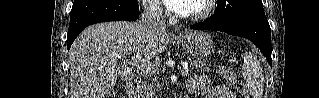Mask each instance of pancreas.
I'll use <instances>...</instances> for the list:
<instances>
[{"instance_id": "1", "label": "pancreas", "mask_w": 319, "mask_h": 98, "mask_svg": "<svg viewBox=\"0 0 319 98\" xmlns=\"http://www.w3.org/2000/svg\"><path fill=\"white\" fill-rule=\"evenodd\" d=\"M190 65H191L192 71L197 73L209 71V68L202 61L192 60L190 61ZM141 91L148 96L153 94L154 92V86L152 83H150V79L148 78V76H146V80L142 84Z\"/></svg>"}]
</instances>
